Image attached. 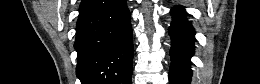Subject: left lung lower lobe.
Instances as JSON below:
<instances>
[{
  "label": "left lung lower lobe",
  "mask_w": 260,
  "mask_h": 84,
  "mask_svg": "<svg viewBox=\"0 0 260 84\" xmlns=\"http://www.w3.org/2000/svg\"><path fill=\"white\" fill-rule=\"evenodd\" d=\"M171 13L173 21L169 27V35L172 39L170 83L190 84L192 76L190 58L194 53L195 31L185 19L186 12L182 7L173 8Z\"/></svg>",
  "instance_id": "1"
}]
</instances>
